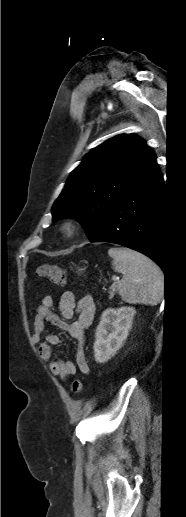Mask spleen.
Listing matches in <instances>:
<instances>
[{
	"instance_id": "spleen-1",
	"label": "spleen",
	"mask_w": 186,
	"mask_h": 517,
	"mask_svg": "<svg viewBox=\"0 0 186 517\" xmlns=\"http://www.w3.org/2000/svg\"><path fill=\"white\" fill-rule=\"evenodd\" d=\"M113 269L124 275L117 288L123 301L157 305L164 294V275L149 258L128 248H110Z\"/></svg>"
}]
</instances>
